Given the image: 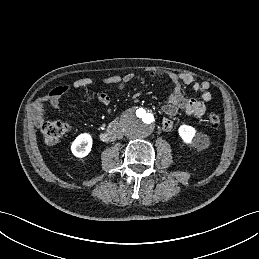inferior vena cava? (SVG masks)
I'll return each instance as SVG.
<instances>
[{
    "label": "inferior vena cava",
    "instance_id": "obj_1",
    "mask_svg": "<svg viewBox=\"0 0 259 259\" xmlns=\"http://www.w3.org/2000/svg\"><path fill=\"white\" fill-rule=\"evenodd\" d=\"M123 134H124V133H123L122 131H119V132H118V138H122V137H123Z\"/></svg>",
    "mask_w": 259,
    "mask_h": 259
}]
</instances>
